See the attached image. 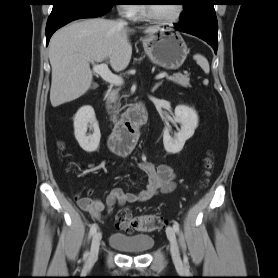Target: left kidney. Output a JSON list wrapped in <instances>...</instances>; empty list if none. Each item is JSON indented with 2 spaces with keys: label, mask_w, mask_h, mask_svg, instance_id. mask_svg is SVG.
<instances>
[{
  "label": "left kidney",
  "mask_w": 278,
  "mask_h": 278,
  "mask_svg": "<svg viewBox=\"0 0 278 278\" xmlns=\"http://www.w3.org/2000/svg\"><path fill=\"white\" fill-rule=\"evenodd\" d=\"M174 121L181 124V129L175 134L174 138L170 136L168 127H165L163 133L164 148L168 153H179L189 138H191L198 126L197 112L188 106L178 105L175 108Z\"/></svg>",
  "instance_id": "left-kidney-1"
}]
</instances>
